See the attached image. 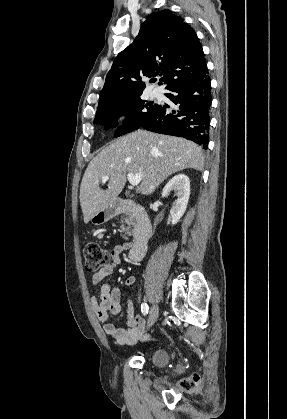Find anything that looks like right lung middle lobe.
I'll return each instance as SVG.
<instances>
[{
    "mask_svg": "<svg viewBox=\"0 0 287 419\" xmlns=\"http://www.w3.org/2000/svg\"><path fill=\"white\" fill-rule=\"evenodd\" d=\"M157 104L146 102L140 97L111 104L97 110L95 124H104L105 129L118 125V118L125 115L127 119L118 128L115 137L138 129L156 110Z\"/></svg>",
    "mask_w": 287,
    "mask_h": 419,
    "instance_id": "right-lung-middle-lobe-1",
    "label": "right lung middle lobe"
}]
</instances>
